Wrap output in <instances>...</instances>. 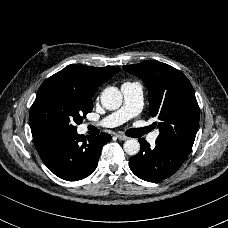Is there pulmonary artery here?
<instances>
[{"label":"pulmonary artery","mask_w":228,"mask_h":228,"mask_svg":"<svg viewBox=\"0 0 228 228\" xmlns=\"http://www.w3.org/2000/svg\"><path fill=\"white\" fill-rule=\"evenodd\" d=\"M121 91L124 97L123 106L109 116L98 122L91 123L90 125L95 127L113 128L123 124L137 114V112L141 109L143 101L142 84L138 81L124 82L121 85ZM158 134V131L152 132L148 135L147 141L150 144H154Z\"/></svg>","instance_id":"obj_1"}]
</instances>
